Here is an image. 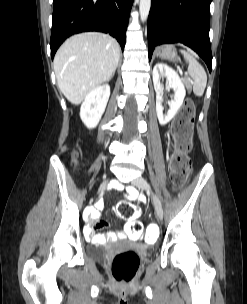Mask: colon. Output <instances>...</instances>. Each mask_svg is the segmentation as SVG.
<instances>
[{"label":"colon","instance_id":"5ec220e1","mask_svg":"<svg viewBox=\"0 0 247 304\" xmlns=\"http://www.w3.org/2000/svg\"><path fill=\"white\" fill-rule=\"evenodd\" d=\"M195 117V105L187 99L171 125V132L175 141V150L169 161V174L172 185L175 188L182 187L190 173L191 161L189 152L192 147V132ZM76 157V153L73 154ZM120 217L129 220L128 235L130 241H142L143 226L137 220L139 209L129 203L120 202L117 206ZM149 238H160L159 224H146ZM144 246H153V239H144ZM140 264L139 255L134 250H126L117 253L111 263V271L115 280L119 283H129L135 276Z\"/></svg>","mask_w":247,"mask_h":304}]
</instances>
